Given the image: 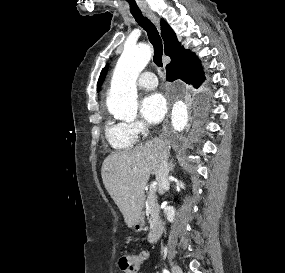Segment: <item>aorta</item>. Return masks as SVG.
Here are the masks:
<instances>
[{
	"mask_svg": "<svg viewBox=\"0 0 285 273\" xmlns=\"http://www.w3.org/2000/svg\"><path fill=\"white\" fill-rule=\"evenodd\" d=\"M151 48L146 44L126 46L118 59L106 100L108 111L120 119H133L137 115L136 81L151 59ZM187 123V108L182 101L174 104L172 125L182 130Z\"/></svg>",
	"mask_w": 285,
	"mask_h": 273,
	"instance_id": "obj_1",
	"label": "aorta"
}]
</instances>
